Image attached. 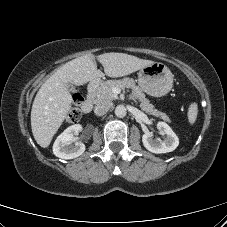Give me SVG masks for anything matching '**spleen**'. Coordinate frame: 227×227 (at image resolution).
I'll list each match as a JSON object with an SVG mask.
<instances>
[{"instance_id":"1","label":"spleen","mask_w":227,"mask_h":227,"mask_svg":"<svg viewBox=\"0 0 227 227\" xmlns=\"http://www.w3.org/2000/svg\"><path fill=\"white\" fill-rule=\"evenodd\" d=\"M197 113H198V106L194 102L189 106V109H188V120H189L190 124L195 123L196 118H197Z\"/></svg>"}]
</instances>
